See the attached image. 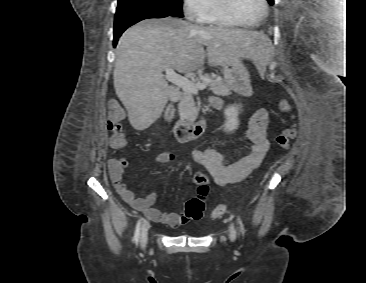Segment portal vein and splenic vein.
Here are the masks:
<instances>
[{
  "mask_svg": "<svg viewBox=\"0 0 366 283\" xmlns=\"http://www.w3.org/2000/svg\"><path fill=\"white\" fill-rule=\"evenodd\" d=\"M165 78L172 84L180 87L185 92L197 94L199 90H202L208 86L210 80H205V82H196L193 79L184 77L174 71L172 68L165 69Z\"/></svg>",
  "mask_w": 366,
  "mask_h": 283,
  "instance_id": "obj_1",
  "label": "portal vein and splenic vein"
}]
</instances>
